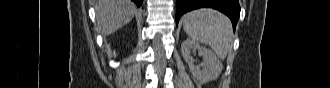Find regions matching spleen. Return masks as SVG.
Masks as SVG:
<instances>
[{
	"label": "spleen",
	"instance_id": "3e777b00",
	"mask_svg": "<svg viewBox=\"0 0 330 88\" xmlns=\"http://www.w3.org/2000/svg\"><path fill=\"white\" fill-rule=\"evenodd\" d=\"M182 20L190 38L209 45L221 60L226 58L233 40L228 17L214 9L202 8L186 13Z\"/></svg>",
	"mask_w": 330,
	"mask_h": 88
}]
</instances>
